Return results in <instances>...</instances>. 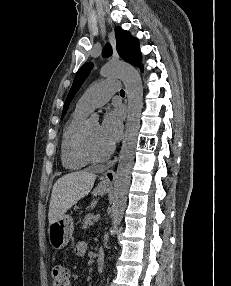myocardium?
Listing matches in <instances>:
<instances>
[{"instance_id": "obj_1", "label": "myocardium", "mask_w": 231, "mask_h": 286, "mask_svg": "<svg viewBox=\"0 0 231 286\" xmlns=\"http://www.w3.org/2000/svg\"><path fill=\"white\" fill-rule=\"evenodd\" d=\"M88 122H85L76 138L75 153L86 164H98L106 161L113 152V146L102 156H94L91 154L87 143Z\"/></svg>"}]
</instances>
